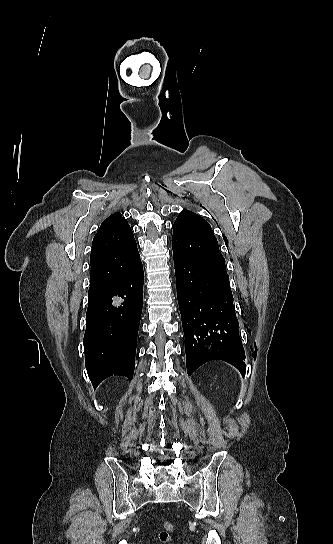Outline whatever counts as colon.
Listing matches in <instances>:
<instances>
[{
  "instance_id": "obj_1",
  "label": "colon",
  "mask_w": 333,
  "mask_h": 544,
  "mask_svg": "<svg viewBox=\"0 0 333 544\" xmlns=\"http://www.w3.org/2000/svg\"><path fill=\"white\" fill-rule=\"evenodd\" d=\"M174 530V524L172 522H164L159 533L158 538L162 543L169 544L172 542L171 532Z\"/></svg>"
}]
</instances>
